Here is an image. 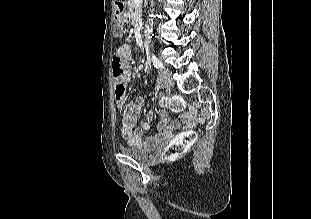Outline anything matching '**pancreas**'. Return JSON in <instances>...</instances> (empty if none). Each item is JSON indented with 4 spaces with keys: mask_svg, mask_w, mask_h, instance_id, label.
Returning a JSON list of instances; mask_svg holds the SVG:
<instances>
[{
    "mask_svg": "<svg viewBox=\"0 0 311 219\" xmlns=\"http://www.w3.org/2000/svg\"><path fill=\"white\" fill-rule=\"evenodd\" d=\"M142 8H138L134 0L129 1L128 17L131 20L132 25L138 23L141 25Z\"/></svg>",
    "mask_w": 311,
    "mask_h": 219,
    "instance_id": "obj_1",
    "label": "pancreas"
}]
</instances>
